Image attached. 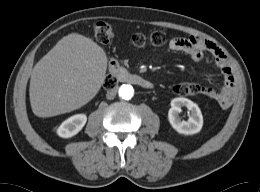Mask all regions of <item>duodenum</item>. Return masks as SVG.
I'll list each match as a JSON object with an SVG mask.
<instances>
[{
    "label": "duodenum",
    "mask_w": 260,
    "mask_h": 192,
    "mask_svg": "<svg viewBox=\"0 0 260 192\" xmlns=\"http://www.w3.org/2000/svg\"><path fill=\"white\" fill-rule=\"evenodd\" d=\"M112 76L117 82L128 83L140 86L145 89H152L153 83L145 77L128 72L122 67H116L112 70Z\"/></svg>",
    "instance_id": "1"
}]
</instances>
